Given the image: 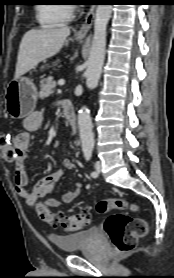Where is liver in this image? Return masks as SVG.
Returning <instances> with one entry per match:
<instances>
[{
    "label": "liver",
    "mask_w": 174,
    "mask_h": 278,
    "mask_svg": "<svg viewBox=\"0 0 174 278\" xmlns=\"http://www.w3.org/2000/svg\"><path fill=\"white\" fill-rule=\"evenodd\" d=\"M69 35L70 28L67 26L27 31L19 46L15 79L30 71L41 61L56 55Z\"/></svg>",
    "instance_id": "6515ba94"
}]
</instances>
